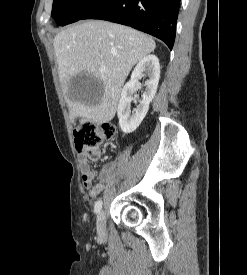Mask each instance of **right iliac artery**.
Wrapping results in <instances>:
<instances>
[{
	"label": "right iliac artery",
	"instance_id": "1",
	"mask_svg": "<svg viewBox=\"0 0 247 275\" xmlns=\"http://www.w3.org/2000/svg\"><path fill=\"white\" fill-rule=\"evenodd\" d=\"M101 209H102V201L98 200L95 203L94 210H95L96 213H99Z\"/></svg>",
	"mask_w": 247,
	"mask_h": 275
}]
</instances>
